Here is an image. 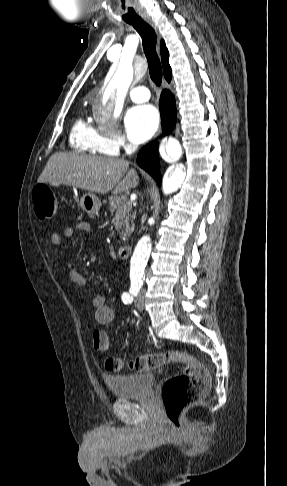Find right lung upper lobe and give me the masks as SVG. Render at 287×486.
Returning <instances> with one entry per match:
<instances>
[{
	"label": "right lung upper lobe",
	"instance_id": "cb5924a9",
	"mask_svg": "<svg viewBox=\"0 0 287 486\" xmlns=\"http://www.w3.org/2000/svg\"><path fill=\"white\" fill-rule=\"evenodd\" d=\"M160 50H161V59H162L164 76L167 81H170L172 78V74H171V67L168 63L169 52L165 46L164 41H161Z\"/></svg>",
	"mask_w": 287,
	"mask_h": 486
}]
</instances>
